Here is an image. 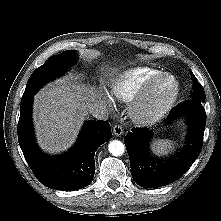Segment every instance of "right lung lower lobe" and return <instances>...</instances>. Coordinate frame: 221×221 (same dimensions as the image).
Returning a JSON list of instances; mask_svg holds the SVG:
<instances>
[{"mask_svg":"<svg viewBox=\"0 0 221 221\" xmlns=\"http://www.w3.org/2000/svg\"><path fill=\"white\" fill-rule=\"evenodd\" d=\"M31 105L32 96L21 102L18 141L36 178L49 188L63 191L89 185L95 173V151L112 136L109 123L99 120L86 122L72 150L61 156H49L35 144Z\"/></svg>","mask_w":221,"mask_h":221,"instance_id":"right-lung-lower-lobe-1","label":"right lung lower lobe"}]
</instances>
